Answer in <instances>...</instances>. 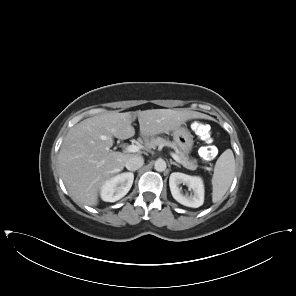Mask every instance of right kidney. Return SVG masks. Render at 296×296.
Masks as SVG:
<instances>
[{
    "mask_svg": "<svg viewBox=\"0 0 296 296\" xmlns=\"http://www.w3.org/2000/svg\"><path fill=\"white\" fill-rule=\"evenodd\" d=\"M134 180L131 172L118 174L107 180L100 189L101 199L105 202H116L130 190Z\"/></svg>",
    "mask_w": 296,
    "mask_h": 296,
    "instance_id": "ca27d5eb",
    "label": "right kidney"
}]
</instances>
